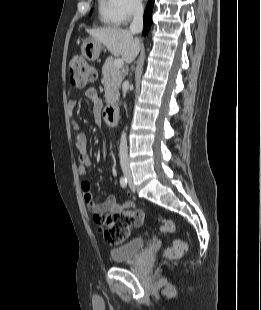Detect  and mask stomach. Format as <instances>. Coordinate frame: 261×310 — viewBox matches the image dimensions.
Here are the masks:
<instances>
[{"instance_id": "obj_1", "label": "stomach", "mask_w": 261, "mask_h": 310, "mask_svg": "<svg viewBox=\"0 0 261 310\" xmlns=\"http://www.w3.org/2000/svg\"><path fill=\"white\" fill-rule=\"evenodd\" d=\"M101 50H102L101 43L93 38L85 39L81 45V52L83 56L89 61H94L98 59Z\"/></svg>"}]
</instances>
